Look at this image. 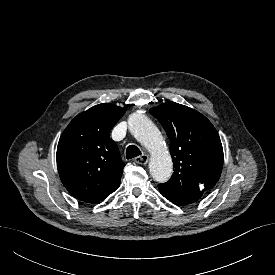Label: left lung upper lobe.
<instances>
[{"instance_id": "1", "label": "left lung upper lobe", "mask_w": 275, "mask_h": 275, "mask_svg": "<svg viewBox=\"0 0 275 275\" xmlns=\"http://www.w3.org/2000/svg\"><path fill=\"white\" fill-rule=\"evenodd\" d=\"M170 139L174 173L158 185L172 202L199 200L215 186L223 166L220 137L211 122L198 111L175 102L150 109Z\"/></svg>"}]
</instances>
